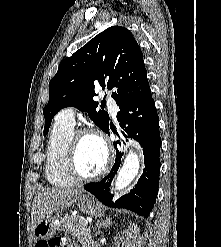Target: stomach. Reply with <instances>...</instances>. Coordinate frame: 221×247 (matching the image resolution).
I'll use <instances>...</instances> for the list:
<instances>
[{
    "instance_id": "obj_1",
    "label": "stomach",
    "mask_w": 221,
    "mask_h": 247,
    "mask_svg": "<svg viewBox=\"0 0 221 247\" xmlns=\"http://www.w3.org/2000/svg\"><path fill=\"white\" fill-rule=\"evenodd\" d=\"M79 209L92 216L101 217L103 215L102 208L93 202L88 196H80L78 199ZM55 216L47 215L33 229L34 237L38 240L51 238L57 229Z\"/></svg>"
}]
</instances>
